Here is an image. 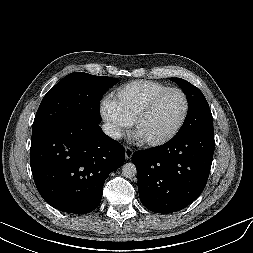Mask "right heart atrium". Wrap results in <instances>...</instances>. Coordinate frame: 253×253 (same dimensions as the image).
<instances>
[{
  "label": "right heart atrium",
  "mask_w": 253,
  "mask_h": 253,
  "mask_svg": "<svg viewBox=\"0 0 253 253\" xmlns=\"http://www.w3.org/2000/svg\"><path fill=\"white\" fill-rule=\"evenodd\" d=\"M102 117L112 127L115 134H120L128 128V124L121 115L116 103L113 99H105L100 108Z\"/></svg>",
  "instance_id": "right-heart-atrium-1"
}]
</instances>
